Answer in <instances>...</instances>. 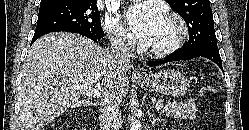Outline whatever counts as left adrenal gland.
<instances>
[{
    "mask_svg": "<svg viewBox=\"0 0 249 130\" xmlns=\"http://www.w3.org/2000/svg\"><path fill=\"white\" fill-rule=\"evenodd\" d=\"M149 120H150V122L154 125L157 121H159V122H163L164 121V119H161V118H159V117H156V116H154V114L150 111L149 112Z\"/></svg>",
    "mask_w": 249,
    "mask_h": 130,
    "instance_id": "left-adrenal-gland-1",
    "label": "left adrenal gland"
}]
</instances>
